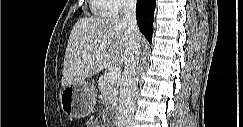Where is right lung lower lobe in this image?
I'll return each instance as SVG.
<instances>
[{
	"instance_id": "obj_1",
	"label": "right lung lower lobe",
	"mask_w": 243,
	"mask_h": 127,
	"mask_svg": "<svg viewBox=\"0 0 243 127\" xmlns=\"http://www.w3.org/2000/svg\"><path fill=\"white\" fill-rule=\"evenodd\" d=\"M156 0H138L136 7L137 24L148 42L152 43V24Z\"/></svg>"
}]
</instances>
